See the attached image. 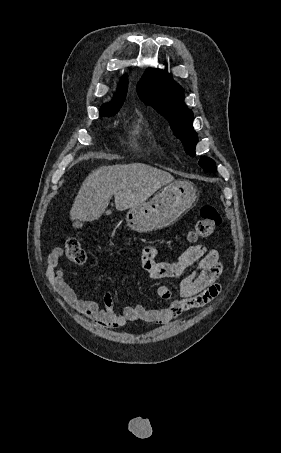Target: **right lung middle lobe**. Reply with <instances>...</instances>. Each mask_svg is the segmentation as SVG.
<instances>
[{
    "label": "right lung middle lobe",
    "instance_id": "1",
    "mask_svg": "<svg viewBox=\"0 0 281 453\" xmlns=\"http://www.w3.org/2000/svg\"><path fill=\"white\" fill-rule=\"evenodd\" d=\"M117 112H118V111H116V112H111V113H109V114H107V115H105V116H112V115H115Z\"/></svg>",
    "mask_w": 281,
    "mask_h": 453
}]
</instances>
